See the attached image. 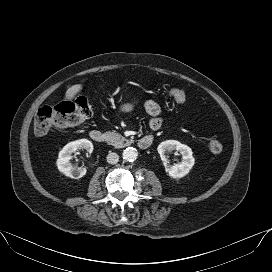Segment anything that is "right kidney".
Instances as JSON below:
<instances>
[{
  "mask_svg": "<svg viewBox=\"0 0 272 272\" xmlns=\"http://www.w3.org/2000/svg\"><path fill=\"white\" fill-rule=\"evenodd\" d=\"M85 149L87 152L92 153L93 144L87 139H79L76 141L69 142L63 149L59 152L58 159L56 161L58 170L65 176L79 179L86 174V168L76 167L72 165L70 160L72 159L71 154L76 150Z\"/></svg>",
  "mask_w": 272,
  "mask_h": 272,
  "instance_id": "obj_1",
  "label": "right kidney"
}]
</instances>
